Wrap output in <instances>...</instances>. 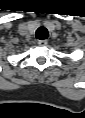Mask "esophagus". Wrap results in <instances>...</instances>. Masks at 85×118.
<instances>
[{
	"mask_svg": "<svg viewBox=\"0 0 85 118\" xmlns=\"http://www.w3.org/2000/svg\"><path fill=\"white\" fill-rule=\"evenodd\" d=\"M47 43H48L47 40H39V41H38V45H40V46H46Z\"/></svg>",
	"mask_w": 85,
	"mask_h": 118,
	"instance_id": "34e87169",
	"label": "esophagus"
}]
</instances>
